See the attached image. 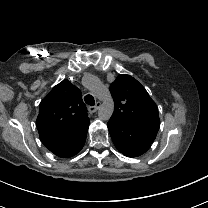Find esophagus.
<instances>
[{
  "mask_svg": "<svg viewBox=\"0 0 208 208\" xmlns=\"http://www.w3.org/2000/svg\"><path fill=\"white\" fill-rule=\"evenodd\" d=\"M101 106V102H97L95 106H89L88 107V112L89 114H93L94 112H96Z\"/></svg>",
  "mask_w": 208,
  "mask_h": 208,
  "instance_id": "34e87169",
  "label": "esophagus"
}]
</instances>
